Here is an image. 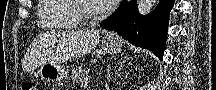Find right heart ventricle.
I'll use <instances>...</instances> for the list:
<instances>
[{"label": "right heart ventricle", "instance_id": "obj_1", "mask_svg": "<svg viewBox=\"0 0 216 90\" xmlns=\"http://www.w3.org/2000/svg\"><path fill=\"white\" fill-rule=\"evenodd\" d=\"M41 6L38 16V27L46 29L56 28H85L81 20L71 17L73 11H69V2L74 0H40Z\"/></svg>", "mask_w": 216, "mask_h": 90}]
</instances>
